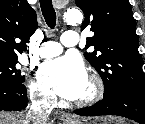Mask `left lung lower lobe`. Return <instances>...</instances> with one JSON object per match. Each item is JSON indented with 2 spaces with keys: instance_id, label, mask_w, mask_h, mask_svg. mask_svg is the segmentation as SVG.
Segmentation results:
<instances>
[{
  "instance_id": "0a47b994",
  "label": "left lung lower lobe",
  "mask_w": 145,
  "mask_h": 124,
  "mask_svg": "<svg viewBox=\"0 0 145 124\" xmlns=\"http://www.w3.org/2000/svg\"><path fill=\"white\" fill-rule=\"evenodd\" d=\"M75 113L81 116L117 115L145 124V92L124 88Z\"/></svg>"
}]
</instances>
